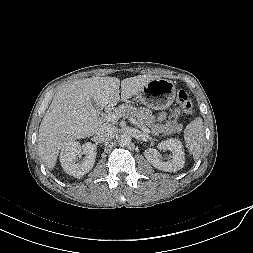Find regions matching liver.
I'll return each instance as SVG.
<instances>
[{
	"label": "liver",
	"mask_w": 253,
	"mask_h": 253,
	"mask_svg": "<svg viewBox=\"0 0 253 253\" xmlns=\"http://www.w3.org/2000/svg\"><path fill=\"white\" fill-rule=\"evenodd\" d=\"M154 75H138L120 81L116 77H92L61 86L46 111L38 135V150L45 166L52 170L59 151L69 142L94 135L102 125L99 107L137 95ZM121 86V96L119 95Z\"/></svg>",
	"instance_id": "obj_1"
}]
</instances>
